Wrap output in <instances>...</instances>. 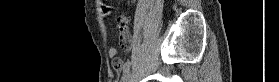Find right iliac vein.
Segmentation results:
<instances>
[{"label":"right iliac vein","instance_id":"1","mask_svg":"<svg viewBox=\"0 0 279 82\" xmlns=\"http://www.w3.org/2000/svg\"><path fill=\"white\" fill-rule=\"evenodd\" d=\"M130 74H127L123 82H130Z\"/></svg>","mask_w":279,"mask_h":82}]
</instances>
